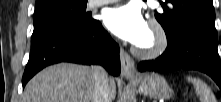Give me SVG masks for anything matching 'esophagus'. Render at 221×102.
<instances>
[{"mask_svg":"<svg viewBox=\"0 0 221 102\" xmlns=\"http://www.w3.org/2000/svg\"><path fill=\"white\" fill-rule=\"evenodd\" d=\"M120 59L122 76L126 79L136 78L138 74L135 68V63L130 55L122 48L120 49Z\"/></svg>","mask_w":221,"mask_h":102,"instance_id":"esophagus-1","label":"esophagus"}]
</instances>
